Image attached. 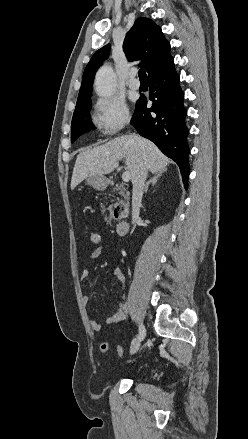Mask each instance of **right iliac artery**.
<instances>
[{"mask_svg": "<svg viewBox=\"0 0 248 439\" xmlns=\"http://www.w3.org/2000/svg\"><path fill=\"white\" fill-rule=\"evenodd\" d=\"M123 308L126 310L125 306ZM146 334H147L146 326L141 322L139 324V331H138V335L140 336V339L143 340L145 338L144 336H146Z\"/></svg>", "mask_w": 248, "mask_h": 439, "instance_id": "82829eb1", "label": "right iliac artery"}]
</instances>
